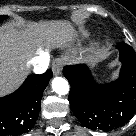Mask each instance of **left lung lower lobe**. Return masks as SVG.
<instances>
[{"label":"left lung lower lobe","instance_id":"0a47b994","mask_svg":"<svg viewBox=\"0 0 136 136\" xmlns=\"http://www.w3.org/2000/svg\"><path fill=\"white\" fill-rule=\"evenodd\" d=\"M122 67L119 78L107 84L96 83L86 65L64 68L71 85L70 107L82 125L93 130H112L136 112V56L131 46L117 45Z\"/></svg>","mask_w":136,"mask_h":136}]
</instances>
